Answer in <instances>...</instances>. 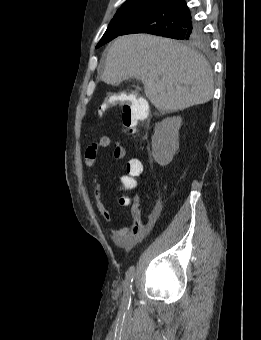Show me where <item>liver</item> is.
I'll list each match as a JSON object with an SVG mask.
<instances>
[{"label": "liver", "instance_id": "6515ba94", "mask_svg": "<svg viewBox=\"0 0 261 340\" xmlns=\"http://www.w3.org/2000/svg\"><path fill=\"white\" fill-rule=\"evenodd\" d=\"M131 77L142 81L146 97L162 113L207 103L214 92L213 73L204 57L154 35L121 36L111 44L102 81L113 85Z\"/></svg>", "mask_w": 261, "mask_h": 340}]
</instances>
